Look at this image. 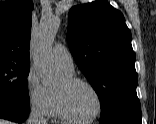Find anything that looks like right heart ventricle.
Returning <instances> with one entry per match:
<instances>
[{
	"label": "right heart ventricle",
	"mask_w": 156,
	"mask_h": 124,
	"mask_svg": "<svg viewBox=\"0 0 156 124\" xmlns=\"http://www.w3.org/2000/svg\"><path fill=\"white\" fill-rule=\"evenodd\" d=\"M67 75H72L73 72H68V71H65ZM51 92H52V98H53V103H52V115L54 117H57L59 119H64L60 112H59V109H58V105H57V101H56V95H55V90L51 89Z\"/></svg>",
	"instance_id": "right-heart-ventricle-1"
}]
</instances>
